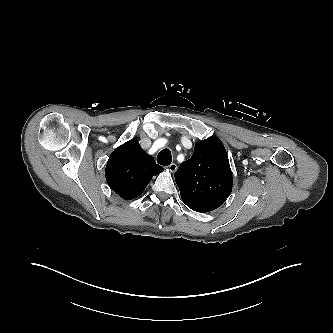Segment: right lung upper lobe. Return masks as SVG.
Wrapping results in <instances>:
<instances>
[{
    "label": "right lung upper lobe",
    "mask_w": 333,
    "mask_h": 333,
    "mask_svg": "<svg viewBox=\"0 0 333 333\" xmlns=\"http://www.w3.org/2000/svg\"><path fill=\"white\" fill-rule=\"evenodd\" d=\"M163 170L136 139H131L110 155L105 175L110 188L123 199L130 200L138 197L152 177Z\"/></svg>",
    "instance_id": "right-lung-upper-lobe-1"
}]
</instances>
